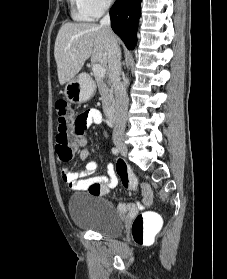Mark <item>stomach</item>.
I'll return each mask as SVG.
<instances>
[{
  "mask_svg": "<svg viewBox=\"0 0 227 279\" xmlns=\"http://www.w3.org/2000/svg\"><path fill=\"white\" fill-rule=\"evenodd\" d=\"M95 93L92 81L82 82L79 78L70 79L65 86L64 95L71 103H82L89 100Z\"/></svg>",
  "mask_w": 227,
  "mask_h": 279,
  "instance_id": "1",
  "label": "stomach"
}]
</instances>
